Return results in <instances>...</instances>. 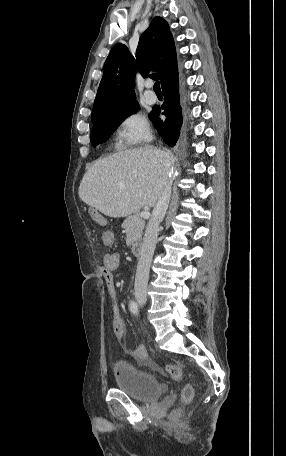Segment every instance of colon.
I'll return each instance as SVG.
<instances>
[{
    "mask_svg": "<svg viewBox=\"0 0 286 456\" xmlns=\"http://www.w3.org/2000/svg\"><path fill=\"white\" fill-rule=\"evenodd\" d=\"M133 357L136 360L147 364L153 370L159 369L158 366L156 365V363L148 357L146 351L143 349H136L133 353ZM165 373L175 381H179L182 378V369L178 365L167 364L165 366ZM191 393H192V389L190 387H186L184 390L185 398H189Z\"/></svg>",
    "mask_w": 286,
    "mask_h": 456,
    "instance_id": "1",
    "label": "colon"
}]
</instances>
